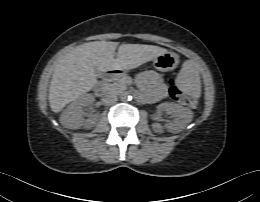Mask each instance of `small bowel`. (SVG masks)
Here are the masks:
<instances>
[{"label":"small bowel","instance_id":"c3829d8e","mask_svg":"<svg viewBox=\"0 0 260 202\" xmlns=\"http://www.w3.org/2000/svg\"><path fill=\"white\" fill-rule=\"evenodd\" d=\"M137 81L150 100L157 101L166 96V87L158 73L153 71L143 73Z\"/></svg>","mask_w":260,"mask_h":202}]
</instances>
